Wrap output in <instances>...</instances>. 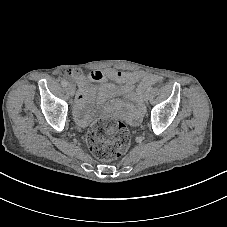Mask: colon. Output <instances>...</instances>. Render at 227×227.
Returning a JSON list of instances; mask_svg holds the SVG:
<instances>
[{
  "mask_svg": "<svg viewBox=\"0 0 227 227\" xmlns=\"http://www.w3.org/2000/svg\"><path fill=\"white\" fill-rule=\"evenodd\" d=\"M86 140L95 157L110 161L121 156L130 145L127 127L114 120H100L88 130Z\"/></svg>",
  "mask_w": 227,
  "mask_h": 227,
  "instance_id": "colon-1",
  "label": "colon"
}]
</instances>
